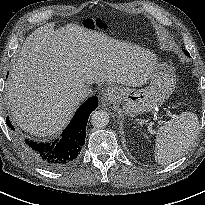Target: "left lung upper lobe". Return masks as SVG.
I'll return each mask as SVG.
<instances>
[{"label":"left lung upper lobe","mask_w":205,"mask_h":205,"mask_svg":"<svg viewBox=\"0 0 205 205\" xmlns=\"http://www.w3.org/2000/svg\"><path fill=\"white\" fill-rule=\"evenodd\" d=\"M184 52H185V54H186L187 56H189V53H188L187 51L184 50Z\"/></svg>","instance_id":"obj_1"}]
</instances>
